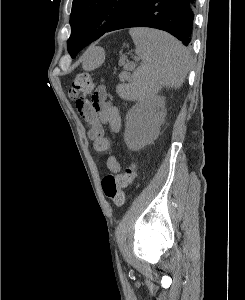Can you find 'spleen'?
Here are the masks:
<instances>
[{
	"mask_svg": "<svg viewBox=\"0 0 245 300\" xmlns=\"http://www.w3.org/2000/svg\"><path fill=\"white\" fill-rule=\"evenodd\" d=\"M136 46V54L143 64L131 76L127 85H118V95L130 101L155 99L164 86L178 88L182 85L189 69L190 58L187 49L168 33L135 28L129 31ZM84 66L90 70L97 65Z\"/></svg>",
	"mask_w": 245,
	"mask_h": 300,
	"instance_id": "1",
	"label": "spleen"
}]
</instances>
